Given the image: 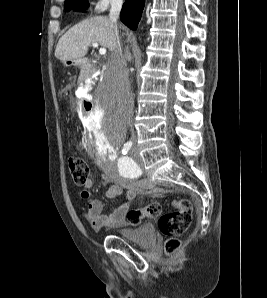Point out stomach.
<instances>
[{
	"label": "stomach",
	"instance_id": "obj_1",
	"mask_svg": "<svg viewBox=\"0 0 267 298\" xmlns=\"http://www.w3.org/2000/svg\"><path fill=\"white\" fill-rule=\"evenodd\" d=\"M73 63H75V64H76V61H72V64H73Z\"/></svg>",
	"mask_w": 267,
	"mask_h": 298
}]
</instances>
